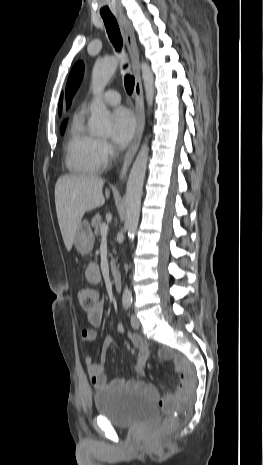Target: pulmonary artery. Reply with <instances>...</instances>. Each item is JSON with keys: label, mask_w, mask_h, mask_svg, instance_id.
<instances>
[{"label": "pulmonary artery", "mask_w": 263, "mask_h": 465, "mask_svg": "<svg viewBox=\"0 0 263 465\" xmlns=\"http://www.w3.org/2000/svg\"><path fill=\"white\" fill-rule=\"evenodd\" d=\"M102 100L109 105H116L120 102V94L115 90H107L102 95Z\"/></svg>", "instance_id": "pulmonary-artery-1"}]
</instances>
